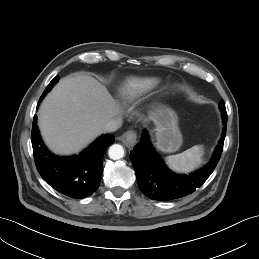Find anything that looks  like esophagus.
Instances as JSON below:
<instances>
[{
	"mask_svg": "<svg viewBox=\"0 0 259 259\" xmlns=\"http://www.w3.org/2000/svg\"><path fill=\"white\" fill-rule=\"evenodd\" d=\"M119 140L128 148H132L137 142V133L135 131H127L119 137Z\"/></svg>",
	"mask_w": 259,
	"mask_h": 259,
	"instance_id": "34e87169",
	"label": "esophagus"
}]
</instances>
